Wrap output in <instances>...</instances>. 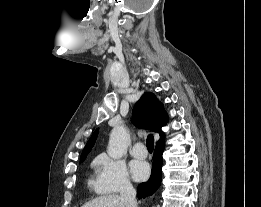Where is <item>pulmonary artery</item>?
<instances>
[{"instance_id":"pulmonary-artery-1","label":"pulmonary artery","mask_w":261,"mask_h":207,"mask_svg":"<svg viewBox=\"0 0 261 207\" xmlns=\"http://www.w3.org/2000/svg\"><path fill=\"white\" fill-rule=\"evenodd\" d=\"M131 154L136 158H145L147 156V150L142 142H137L133 145Z\"/></svg>"}]
</instances>
